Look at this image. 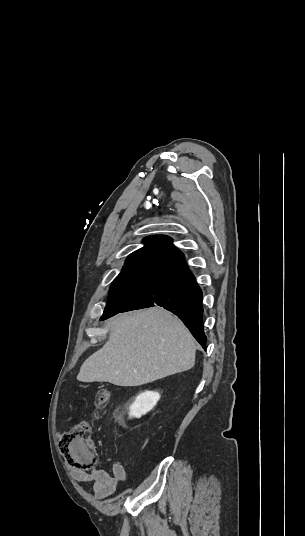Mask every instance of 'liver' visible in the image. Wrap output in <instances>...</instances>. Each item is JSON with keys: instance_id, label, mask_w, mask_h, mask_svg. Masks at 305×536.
I'll use <instances>...</instances> for the list:
<instances>
[{"instance_id": "1", "label": "liver", "mask_w": 305, "mask_h": 536, "mask_svg": "<svg viewBox=\"0 0 305 536\" xmlns=\"http://www.w3.org/2000/svg\"><path fill=\"white\" fill-rule=\"evenodd\" d=\"M105 346L85 360L79 382L142 386L195 364L194 340L183 322L163 308L119 314L109 322Z\"/></svg>"}]
</instances>
